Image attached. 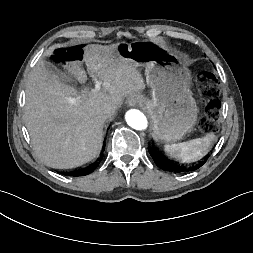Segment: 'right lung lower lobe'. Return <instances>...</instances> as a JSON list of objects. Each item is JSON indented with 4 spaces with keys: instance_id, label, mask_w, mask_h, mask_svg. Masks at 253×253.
Listing matches in <instances>:
<instances>
[{
    "instance_id": "obj_1",
    "label": "right lung lower lobe",
    "mask_w": 253,
    "mask_h": 253,
    "mask_svg": "<svg viewBox=\"0 0 253 253\" xmlns=\"http://www.w3.org/2000/svg\"><path fill=\"white\" fill-rule=\"evenodd\" d=\"M93 170L94 169H90L87 172L74 173L73 176H83V175L91 173Z\"/></svg>"
}]
</instances>
